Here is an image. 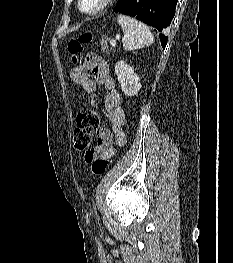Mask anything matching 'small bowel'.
I'll list each match as a JSON object with an SVG mask.
<instances>
[{
    "mask_svg": "<svg viewBox=\"0 0 233 263\" xmlns=\"http://www.w3.org/2000/svg\"><path fill=\"white\" fill-rule=\"evenodd\" d=\"M87 70L92 74L86 73ZM72 80L90 94L96 93L99 87L105 90L104 112L112 131L105 127L99 128L96 144L90 152L93 158H112L115 155V146H123L127 141L124 131L126 118L121 107L122 97L116 89L106 61L94 52L89 53L84 63L72 72Z\"/></svg>",
    "mask_w": 233,
    "mask_h": 263,
    "instance_id": "1",
    "label": "small bowel"
}]
</instances>
